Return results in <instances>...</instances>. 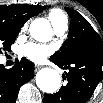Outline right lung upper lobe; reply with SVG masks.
<instances>
[{"label":"right lung upper lobe","mask_w":103,"mask_h":103,"mask_svg":"<svg viewBox=\"0 0 103 103\" xmlns=\"http://www.w3.org/2000/svg\"><path fill=\"white\" fill-rule=\"evenodd\" d=\"M45 6L39 5H1L0 6V21L14 28H19L32 16L39 14Z\"/></svg>","instance_id":"cb5924a9"}]
</instances>
